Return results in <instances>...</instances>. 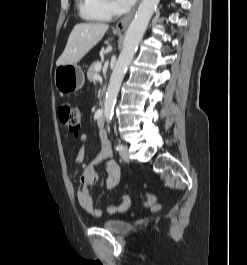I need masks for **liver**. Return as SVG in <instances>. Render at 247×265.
<instances>
[{
	"label": "liver",
	"mask_w": 247,
	"mask_h": 265,
	"mask_svg": "<svg viewBox=\"0 0 247 265\" xmlns=\"http://www.w3.org/2000/svg\"><path fill=\"white\" fill-rule=\"evenodd\" d=\"M109 25L104 23H80L71 31L66 47L56 65L77 64L102 39Z\"/></svg>",
	"instance_id": "obj_1"
}]
</instances>
